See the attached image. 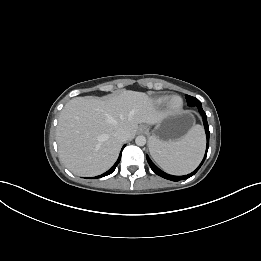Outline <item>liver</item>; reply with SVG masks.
I'll list each match as a JSON object with an SVG mask.
<instances>
[{"instance_id": "6515ba94", "label": "liver", "mask_w": 261, "mask_h": 261, "mask_svg": "<svg viewBox=\"0 0 261 261\" xmlns=\"http://www.w3.org/2000/svg\"><path fill=\"white\" fill-rule=\"evenodd\" d=\"M166 116L143 92L123 91L103 98L76 97L62 109L56 131L60 160L75 175L96 176L117 160L123 142L138 125H155ZM124 130L126 138L114 137Z\"/></svg>"}]
</instances>
